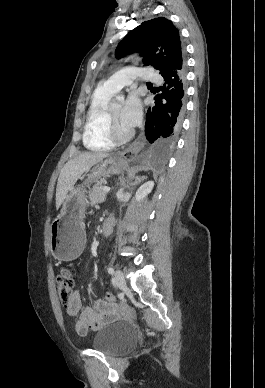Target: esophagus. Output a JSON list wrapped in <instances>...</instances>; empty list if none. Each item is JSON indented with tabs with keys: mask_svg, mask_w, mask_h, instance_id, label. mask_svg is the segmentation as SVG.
Instances as JSON below:
<instances>
[{
	"mask_svg": "<svg viewBox=\"0 0 265 388\" xmlns=\"http://www.w3.org/2000/svg\"><path fill=\"white\" fill-rule=\"evenodd\" d=\"M144 141V132H142L138 139L133 142L129 147L125 148L122 152H120V156L124 159L133 158L136 156Z\"/></svg>",
	"mask_w": 265,
	"mask_h": 388,
	"instance_id": "obj_1",
	"label": "esophagus"
}]
</instances>
